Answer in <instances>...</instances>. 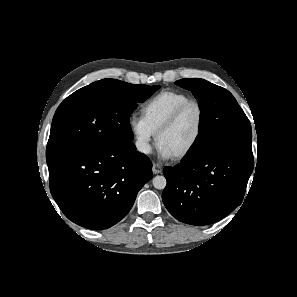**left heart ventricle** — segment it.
Instances as JSON below:
<instances>
[{"mask_svg":"<svg viewBox=\"0 0 297 297\" xmlns=\"http://www.w3.org/2000/svg\"><path fill=\"white\" fill-rule=\"evenodd\" d=\"M199 126V112L195 106H189L182 113L176 124L160 138L173 155L187 148L196 136Z\"/></svg>","mask_w":297,"mask_h":297,"instance_id":"1","label":"left heart ventricle"}]
</instances>
